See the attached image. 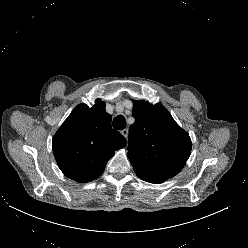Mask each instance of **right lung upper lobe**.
<instances>
[{"label": "right lung upper lobe", "instance_id": "cb5924a9", "mask_svg": "<svg viewBox=\"0 0 248 248\" xmlns=\"http://www.w3.org/2000/svg\"><path fill=\"white\" fill-rule=\"evenodd\" d=\"M126 139L111 127L105 103L96 99L93 107L78 105L52 140L57 164L67 177L90 182L99 177L114 152L125 147Z\"/></svg>", "mask_w": 248, "mask_h": 248}]
</instances>
